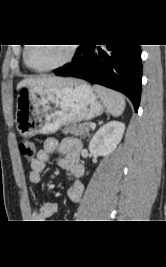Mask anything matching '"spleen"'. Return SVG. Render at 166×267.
<instances>
[{
  "label": "spleen",
  "instance_id": "obj_1",
  "mask_svg": "<svg viewBox=\"0 0 166 267\" xmlns=\"http://www.w3.org/2000/svg\"><path fill=\"white\" fill-rule=\"evenodd\" d=\"M94 90L101 98L107 111L114 117H118L123 113L126 103L120 93L100 86H94Z\"/></svg>",
  "mask_w": 166,
  "mask_h": 267
}]
</instances>
